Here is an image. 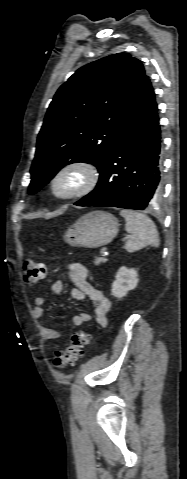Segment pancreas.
I'll return each mask as SVG.
<instances>
[{"label":"pancreas","mask_w":187,"mask_h":479,"mask_svg":"<svg viewBox=\"0 0 187 479\" xmlns=\"http://www.w3.org/2000/svg\"><path fill=\"white\" fill-rule=\"evenodd\" d=\"M106 261H107V259H105V258L96 257L95 260H94V264L95 265H100L101 263H105Z\"/></svg>","instance_id":"obj_1"}]
</instances>
